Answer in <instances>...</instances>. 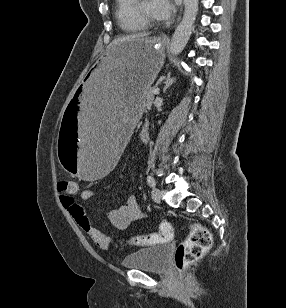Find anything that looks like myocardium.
<instances>
[{
    "instance_id": "myocardium-1",
    "label": "myocardium",
    "mask_w": 286,
    "mask_h": 308,
    "mask_svg": "<svg viewBox=\"0 0 286 308\" xmlns=\"http://www.w3.org/2000/svg\"><path fill=\"white\" fill-rule=\"evenodd\" d=\"M135 13L137 17L148 27L154 26L157 24V21L151 19L150 17L146 16L144 13L141 12L139 5H135Z\"/></svg>"
}]
</instances>
